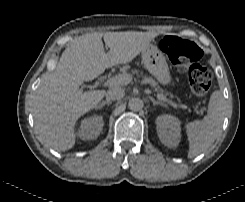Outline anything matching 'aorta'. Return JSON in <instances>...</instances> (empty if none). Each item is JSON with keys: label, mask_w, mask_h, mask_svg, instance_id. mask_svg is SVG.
Segmentation results:
<instances>
[{"label": "aorta", "mask_w": 245, "mask_h": 202, "mask_svg": "<svg viewBox=\"0 0 245 202\" xmlns=\"http://www.w3.org/2000/svg\"><path fill=\"white\" fill-rule=\"evenodd\" d=\"M144 103L140 98H132L128 102V107L132 111H139L143 108Z\"/></svg>", "instance_id": "762f6f07"}]
</instances>
